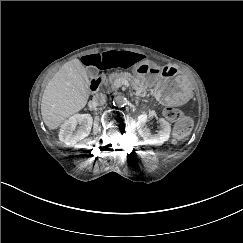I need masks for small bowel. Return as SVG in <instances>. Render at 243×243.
Segmentation results:
<instances>
[{"label":"small bowel","mask_w":243,"mask_h":243,"mask_svg":"<svg viewBox=\"0 0 243 243\" xmlns=\"http://www.w3.org/2000/svg\"><path fill=\"white\" fill-rule=\"evenodd\" d=\"M142 60L139 53L128 50H108L101 53L85 55L84 65L91 68H131Z\"/></svg>","instance_id":"c3829d8e"}]
</instances>
